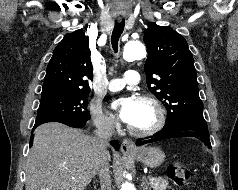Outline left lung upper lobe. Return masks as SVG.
Wrapping results in <instances>:
<instances>
[{"mask_svg": "<svg viewBox=\"0 0 238 190\" xmlns=\"http://www.w3.org/2000/svg\"><path fill=\"white\" fill-rule=\"evenodd\" d=\"M144 34L147 86L167 109L165 124L186 115H203L194 60L186 40L172 28L155 23H150Z\"/></svg>", "mask_w": 238, "mask_h": 190, "instance_id": "5c2ea615", "label": "left lung upper lobe"}]
</instances>
